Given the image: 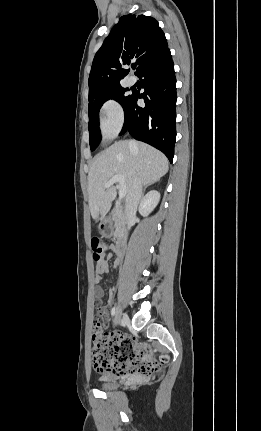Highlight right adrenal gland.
Wrapping results in <instances>:
<instances>
[{
    "label": "right adrenal gland",
    "instance_id": "1",
    "mask_svg": "<svg viewBox=\"0 0 261 431\" xmlns=\"http://www.w3.org/2000/svg\"><path fill=\"white\" fill-rule=\"evenodd\" d=\"M150 185H151V184H148V185H146V186H145V188H144V192L146 191L147 187H148V186H150ZM144 192H143V195H144Z\"/></svg>",
    "mask_w": 261,
    "mask_h": 431
}]
</instances>
